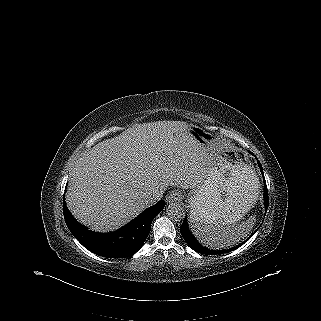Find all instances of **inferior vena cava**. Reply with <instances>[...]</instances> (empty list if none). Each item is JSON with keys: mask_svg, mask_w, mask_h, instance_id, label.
Listing matches in <instances>:
<instances>
[{"mask_svg": "<svg viewBox=\"0 0 321 321\" xmlns=\"http://www.w3.org/2000/svg\"><path fill=\"white\" fill-rule=\"evenodd\" d=\"M162 196H163L162 192H155V193L146 195L143 198V201H144L145 205L147 207H149V206H152L153 204H155L157 201H159L162 198Z\"/></svg>", "mask_w": 321, "mask_h": 321, "instance_id": "1", "label": "inferior vena cava"}]
</instances>
